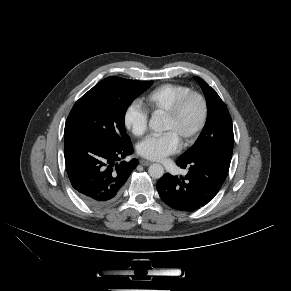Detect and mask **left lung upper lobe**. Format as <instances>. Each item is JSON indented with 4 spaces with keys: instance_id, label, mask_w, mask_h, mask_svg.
<instances>
[{
    "instance_id": "left-lung-upper-lobe-1",
    "label": "left lung upper lobe",
    "mask_w": 291,
    "mask_h": 291,
    "mask_svg": "<svg viewBox=\"0 0 291 291\" xmlns=\"http://www.w3.org/2000/svg\"><path fill=\"white\" fill-rule=\"evenodd\" d=\"M194 79L200 84L206 97L207 122L196 142L179 157V160L208 155L231 159L234 135L229 111L213 88L199 77Z\"/></svg>"
}]
</instances>
